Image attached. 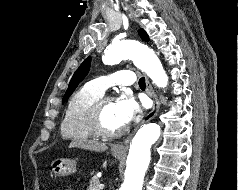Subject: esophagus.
<instances>
[{"label": "esophagus", "instance_id": "obj_1", "mask_svg": "<svg viewBox=\"0 0 238 190\" xmlns=\"http://www.w3.org/2000/svg\"><path fill=\"white\" fill-rule=\"evenodd\" d=\"M146 90H147L148 95L153 100V107H152L151 111L145 116L143 123H147L150 120H152L154 117H156L159 112V109H160V101H159V99H158V97H157V95H156V93L147 77H146ZM130 138H131V136H128L123 142L116 144L113 147V149L116 151H124L125 146L129 142Z\"/></svg>", "mask_w": 238, "mask_h": 190}]
</instances>
